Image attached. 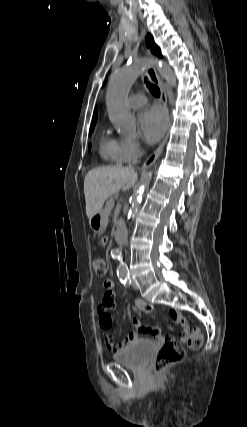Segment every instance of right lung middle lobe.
I'll return each instance as SVG.
<instances>
[{
	"label": "right lung middle lobe",
	"mask_w": 247,
	"mask_h": 427,
	"mask_svg": "<svg viewBox=\"0 0 247 427\" xmlns=\"http://www.w3.org/2000/svg\"><path fill=\"white\" fill-rule=\"evenodd\" d=\"M93 129H94V126H91V128H90V134H91V132L93 131ZM90 145H89V149H90Z\"/></svg>",
	"instance_id": "dd1d6c3e"
}]
</instances>
